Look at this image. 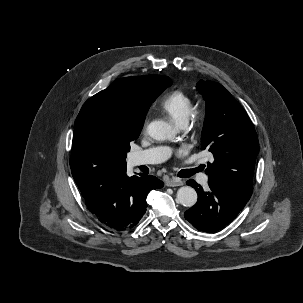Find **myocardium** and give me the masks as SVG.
Instances as JSON below:
<instances>
[{
    "mask_svg": "<svg viewBox=\"0 0 303 303\" xmlns=\"http://www.w3.org/2000/svg\"><path fill=\"white\" fill-rule=\"evenodd\" d=\"M201 115H202V111L199 108L193 107L190 118L194 121H197L200 119Z\"/></svg>",
    "mask_w": 303,
    "mask_h": 303,
    "instance_id": "obj_1",
    "label": "myocardium"
}]
</instances>
